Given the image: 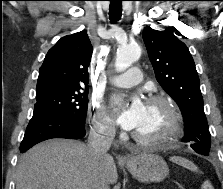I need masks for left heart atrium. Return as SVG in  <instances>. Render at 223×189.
Returning <instances> with one entry per match:
<instances>
[{"label":"left heart atrium","mask_w":223,"mask_h":189,"mask_svg":"<svg viewBox=\"0 0 223 189\" xmlns=\"http://www.w3.org/2000/svg\"><path fill=\"white\" fill-rule=\"evenodd\" d=\"M112 107L116 114L117 123L125 130L136 129L145 113V104L137 95L128 100L116 96L112 99Z\"/></svg>","instance_id":"39dd6f15"}]
</instances>
